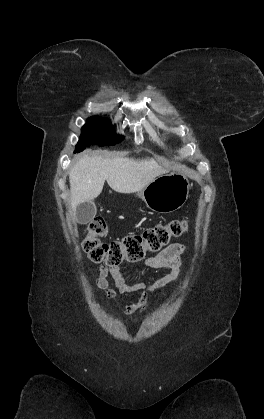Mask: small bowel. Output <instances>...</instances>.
Segmentation results:
<instances>
[{
    "instance_id": "1",
    "label": "small bowel",
    "mask_w": 264,
    "mask_h": 419,
    "mask_svg": "<svg viewBox=\"0 0 264 419\" xmlns=\"http://www.w3.org/2000/svg\"><path fill=\"white\" fill-rule=\"evenodd\" d=\"M185 251L184 245L174 243L166 247L155 256L145 259V264L152 269H169V273L151 284L137 282L134 284L127 283L120 269L108 268L101 266L98 269V278L96 284L100 289L106 290L110 298L115 296V291L109 289L108 277H111L115 283L116 289L121 294L134 292H142L140 298L133 304L121 308L123 314H133L135 312H143L148 303V295L157 289L177 281L182 266V256Z\"/></svg>"
}]
</instances>
